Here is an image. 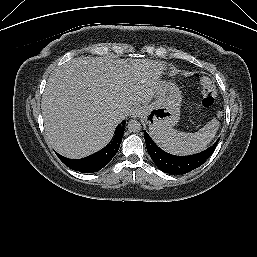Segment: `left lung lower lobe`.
Returning a JSON list of instances; mask_svg holds the SVG:
<instances>
[{"label":"left lung lower lobe","instance_id":"1","mask_svg":"<svg viewBox=\"0 0 257 257\" xmlns=\"http://www.w3.org/2000/svg\"><path fill=\"white\" fill-rule=\"evenodd\" d=\"M147 151L156 164L164 173L170 175H179L188 173L201 166L213 153L219 139L210 148L189 156H176L169 154L159 148L152 138L144 131Z\"/></svg>","mask_w":257,"mask_h":257}]
</instances>
